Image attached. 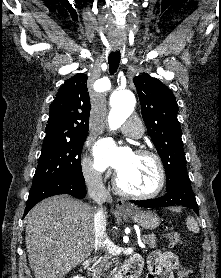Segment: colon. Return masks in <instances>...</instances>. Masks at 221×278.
Here are the masks:
<instances>
[{
    "label": "colon",
    "mask_w": 221,
    "mask_h": 278,
    "mask_svg": "<svg viewBox=\"0 0 221 278\" xmlns=\"http://www.w3.org/2000/svg\"><path fill=\"white\" fill-rule=\"evenodd\" d=\"M168 239L171 245L177 246V247H182L184 245L183 239L181 235L178 232H170L168 234ZM181 278H194V274L191 269L189 268H184L181 273H180Z\"/></svg>",
    "instance_id": "1"
}]
</instances>
